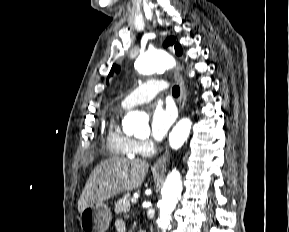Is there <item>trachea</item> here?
<instances>
[{
  "label": "trachea",
  "mask_w": 289,
  "mask_h": 232,
  "mask_svg": "<svg viewBox=\"0 0 289 232\" xmlns=\"http://www.w3.org/2000/svg\"><path fill=\"white\" fill-rule=\"evenodd\" d=\"M172 94L174 97H178L180 95V88L179 86H174L172 88Z\"/></svg>",
  "instance_id": "trachea-1"
}]
</instances>
